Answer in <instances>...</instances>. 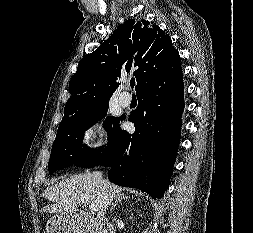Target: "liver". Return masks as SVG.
<instances>
[{
    "label": "liver",
    "mask_w": 253,
    "mask_h": 233,
    "mask_svg": "<svg viewBox=\"0 0 253 233\" xmlns=\"http://www.w3.org/2000/svg\"><path fill=\"white\" fill-rule=\"evenodd\" d=\"M123 196L122 188L102 179L97 181L94 174L86 172L73 175L48 187L42 197L54 204L41 209L42 212L59 215L74 213L78 216V207L95 204L98 208V218H105L111 202Z\"/></svg>",
    "instance_id": "obj_1"
}]
</instances>
